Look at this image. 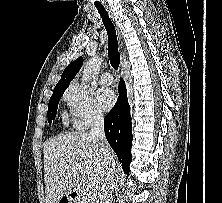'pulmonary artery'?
I'll return each mask as SVG.
<instances>
[{"instance_id": "pulmonary-artery-1", "label": "pulmonary artery", "mask_w": 222, "mask_h": 203, "mask_svg": "<svg viewBox=\"0 0 222 203\" xmlns=\"http://www.w3.org/2000/svg\"><path fill=\"white\" fill-rule=\"evenodd\" d=\"M100 82L103 85H110L113 82V77L110 72H103L100 76Z\"/></svg>"}]
</instances>
